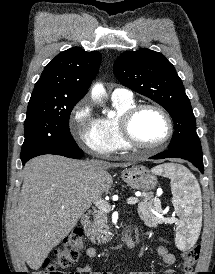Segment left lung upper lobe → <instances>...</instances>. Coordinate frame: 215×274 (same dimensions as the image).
<instances>
[{
	"label": "left lung upper lobe",
	"mask_w": 215,
	"mask_h": 274,
	"mask_svg": "<svg viewBox=\"0 0 215 274\" xmlns=\"http://www.w3.org/2000/svg\"><path fill=\"white\" fill-rule=\"evenodd\" d=\"M113 71L124 86L159 103L171 115L175 133L169 149L202 154L190 100L164 55L146 48L128 51L117 58Z\"/></svg>",
	"instance_id": "obj_1"
}]
</instances>
